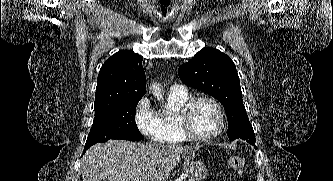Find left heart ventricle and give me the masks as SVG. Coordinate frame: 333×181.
Wrapping results in <instances>:
<instances>
[{"label":"left heart ventricle","instance_id":"obj_1","mask_svg":"<svg viewBox=\"0 0 333 181\" xmlns=\"http://www.w3.org/2000/svg\"><path fill=\"white\" fill-rule=\"evenodd\" d=\"M191 126L199 136H209L219 127V116L215 107L206 101L198 102L191 114Z\"/></svg>","mask_w":333,"mask_h":181}]
</instances>
